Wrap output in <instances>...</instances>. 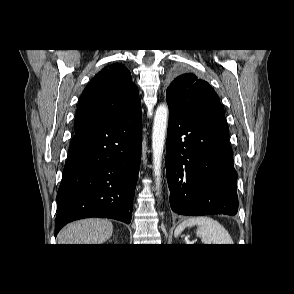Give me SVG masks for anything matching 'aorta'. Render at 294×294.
<instances>
[{
	"instance_id": "obj_1",
	"label": "aorta",
	"mask_w": 294,
	"mask_h": 294,
	"mask_svg": "<svg viewBox=\"0 0 294 294\" xmlns=\"http://www.w3.org/2000/svg\"><path fill=\"white\" fill-rule=\"evenodd\" d=\"M168 107L161 104L157 107L152 129L153 172L156 187L160 188L162 156L168 123Z\"/></svg>"
}]
</instances>
